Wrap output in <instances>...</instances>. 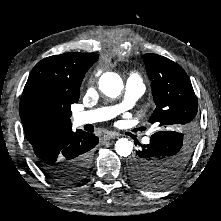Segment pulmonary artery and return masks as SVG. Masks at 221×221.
<instances>
[{
    "label": "pulmonary artery",
    "mask_w": 221,
    "mask_h": 221,
    "mask_svg": "<svg viewBox=\"0 0 221 221\" xmlns=\"http://www.w3.org/2000/svg\"><path fill=\"white\" fill-rule=\"evenodd\" d=\"M144 92L145 86L140 78L137 76H131L126 83L124 98L119 104L78 112L73 117L74 123L77 126H81L88 123L109 120L120 114L122 111L131 108L141 98Z\"/></svg>",
    "instance_id": "obj_1"
}]
</instances>
